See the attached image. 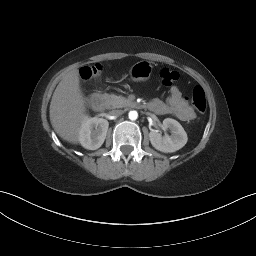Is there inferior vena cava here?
I'll use <instances>...</instances> for the list:
<instances>
[{
	"label": "inferior vena cava",
	"instance_id": "1",
	"mask_svg": "<svg viewBox=\"0 0 256 256\" xmlns=\"http://www.w3.org/2000/svg\"><path fill=\"white\" fill-rule=\"evenodd\" d=\"M111 114L115 115V116H119V115L123 114V110H118V109L117 110H112Z\"/></svg>",
	"mask_w": 256,
	"mask_h": 256
}]
</instances>
